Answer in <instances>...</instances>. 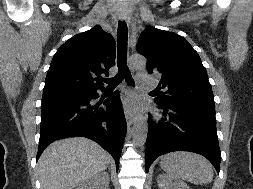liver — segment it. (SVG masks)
<instances>
[{
  "mask_svg": "<svg viewBox=\"0 0 253 189\" xmlns=\"http://www.w3.org/2000/svg\"><path fill=\"white\" fill-rule=\"evenodd\" d=\"M111 161V156L92 140H58L46 148L38 161L41 189H73L104 171Z\"/></svg>",
  "mask_w": 253,
  "mask_h": 189,
  "instance_id": "6515ba94",
  "label": "liver"
}]
</instances>
